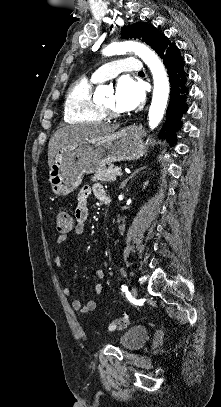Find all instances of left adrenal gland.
<instances>
[{"mask_svg": "<svg viewBox=\"0 0 221 407\" xmlns=\"http://www.w3.org/2000/svg\"><path fill=\"white\" fill-rule=\"evenodd\" d=\"M144 169H146L145 166H143V167L137 169L133 174H131L127 179H125V180L121 183V185H120L119 188H120V189H123V188L126 186L127 182H128L130 179H132L134 176H136L140 171H142V170H144Z\"/></svg>", "mask_w": 221, "mask_h": 407, "instance_id": "a2214340", "label": "left adrenal gland"}]
</instances>
